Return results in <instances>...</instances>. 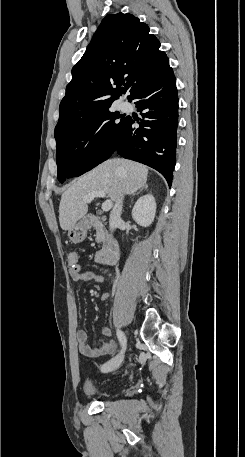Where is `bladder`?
Returning <instances> with one entry per match:
<instances>
[{
  "mask_svg": "<svg viewBox=\"0 0 245 457\" xmlns=\"http://www.w3.org/2000/svg\"><path fill=\"white\" fill-rule=\"evenodd\" d=\"M106 393V389L104 388H97L94 387L92 384L87 385L86 390H85V395L86 397H92V396H101Z\"/></svg>",
  "mask_w": 245,
  "mask_h": 457,
  "instance_id": "bladder-1",
  "label": "bladder"
}]
</instances>
